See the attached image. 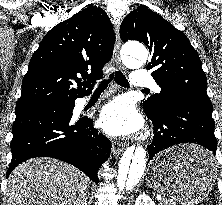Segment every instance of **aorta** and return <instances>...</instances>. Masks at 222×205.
Masks as SVG:
<instances>
[{"mask_svg": "<svg viewBox=\"0 0 222 205\" xmlns=\"http://www.w3.org/2000/svg\"><path fill=\"white\" fill-rule=\"evenodd\" d=\"M123 61L129 67L141 66L148 57L146 48L137 42L128 43L123 48ZM146 150L141 146H131L123 154L115 179L117 194L123 195L135 189L146 168Z\"/></svg>", "mask_w": 222, "mask_h": 205, "instance_id": "aorta-1", "label": "aorta"}]
</instances>
